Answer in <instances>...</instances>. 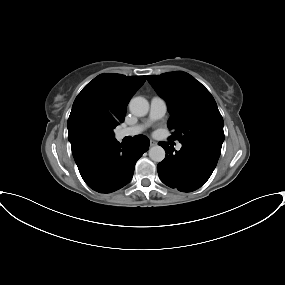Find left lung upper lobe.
I'll return each instance as SVG.
<instances>
[{"mask_svg":"<svg viewBox=\"0 0 285 285\" xmlns=\"http://www.w3.org/2000/svg\"><path fill=\"white\" fill-rule=\"evenodd\" d=\"M156 92L168 104L171 138L181 144H204L221 149L223 118L210 92L185 72L147 76Z\"/></svg>","mask_w":285,"mask_h":285,"instance_id":"1","label":"left lung upper lobe"}]
</instances>
